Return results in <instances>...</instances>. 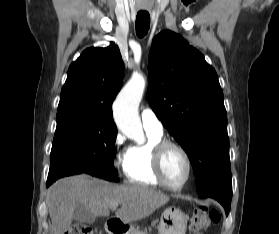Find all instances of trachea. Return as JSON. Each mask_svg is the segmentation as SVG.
<instances>
[{
	"mask_svg": "<svg viewBox=\"0 0 279 234\" xmlns=\"http://www.w3.org/2000/svg\"><path fill=\"white\" fill-rule=\"evenodd\" d=\"M150 27V15L148 12H138L136 17V34L139 38L144 37Z\"/></svg>",
	"mask_w": 279,
	"mask_h": 234,
	"instance_id": "trachea-1",
	"label": "trachea"
}]
</instances>
